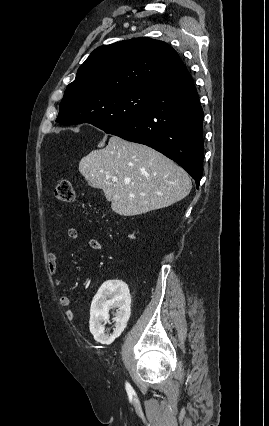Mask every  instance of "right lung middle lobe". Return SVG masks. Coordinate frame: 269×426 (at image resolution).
Returning a JSON list of instances; mask_svg holds the SVG:
<instances>
[{"label":"right lung middle lobe","instance_id":"1","mask_svg":"<svg viewBox=\"0 0 269 426\" xmlns=\"http://www.w3.org/2000/svg\"><path fill=\"white\" fill-rule=\"evenodd\" d=\"M154 92L126 90L83 98L79 94L64 96L56 119L62 125L89 123L111 131L141 115L150 105Z\"/></svg>","mask_w":269,"mask_h":426}]
</instances>
